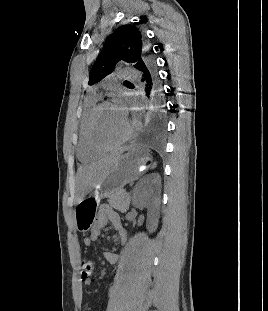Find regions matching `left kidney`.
Instances as JSON below:
<instances>
[{"label":"left kidney","instance_id":"5707ae66","mask_svg":"<svg viewBox=\"0 0 268 311\" xmlns=\"http://www.w3.org/2000/svg\"><path fill=\"white\" fill-rule=\"evenodd\" d=\"M161 177L153 173L142 178L133 190L132 204L137 208H147L146 226L150 233L158 226Z\"/></svg>","mask_w":268,"mask_h":311}]
</instances>
